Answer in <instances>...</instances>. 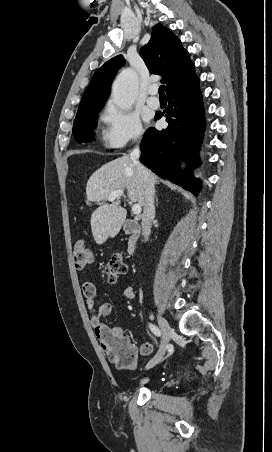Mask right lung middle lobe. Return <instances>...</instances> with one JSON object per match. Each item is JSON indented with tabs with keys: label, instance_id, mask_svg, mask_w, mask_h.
<instances>
[{
	"label": "right lung middle lobe",
	"instance_id": "1",
	"mask_svg": "<svg viewBox=\"0 0 272 452\" xmlns=\"http://www.w3.org/2000/svg\"><path fill=\"white\" fill-rule=\"evenodd\" d=\"M103 106H94L77 112L73 135L78 143H86L93 139V133L97 124V114Z\"/></svg>",
	"mask_w": 272,
	"mask_h": 452
}]
</instances>
